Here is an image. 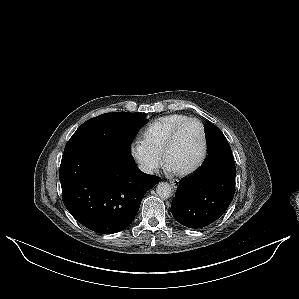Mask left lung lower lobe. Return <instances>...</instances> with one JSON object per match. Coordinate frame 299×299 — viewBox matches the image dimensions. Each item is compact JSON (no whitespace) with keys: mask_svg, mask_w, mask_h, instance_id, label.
Segmentation results:
<instances>
[{"mask_svg":"<svg viewBox=\"0 0 299 299\" xmlns=\"http://www.w3.org/2000/svg\"><path fill=\"white\" fill-rule=\"evenodd\" d=\"M207 153L203 166L180 182L171 205L173 217L189 228H202L216 221L229 207L235 192L232 151Z\"/></svg>","mask_w":299,"mask_h":299,"instance_id":"obj_1","label":"left lung lower lobe"}]
</instances>
